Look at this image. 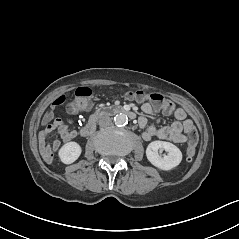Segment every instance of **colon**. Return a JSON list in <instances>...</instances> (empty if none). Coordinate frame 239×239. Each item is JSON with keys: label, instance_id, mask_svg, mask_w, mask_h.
<instances>
[{"label": "colon", "instance_id": "obj_1", "mask_svg": "<svg viewBox=\"0 0 239 239\" xmlns=\"http://www.w3.org/2000/svg\"><path fill=\"white\" fill-rule=\"evenodd\" d=\"M128 96L138 102L149 101L152 105L163 112L172 113L175 110L173 102L165 99L158 93H145L142 91L129 92ZM92 90L89 87H79L75 92L74 100L69 104L68 111L72 114L78 113L91 106ZM65 101V97L61 96L53 102V108L61 105ZM51 119V114L45 118L46 121ZM198 143V134L196 130L190 131L188 135V147L186 151V158L188 161L192 160L195 155L196 145Z\"/></svg>", "mask_w": 239, "mask_h": 239}]
</instances>
